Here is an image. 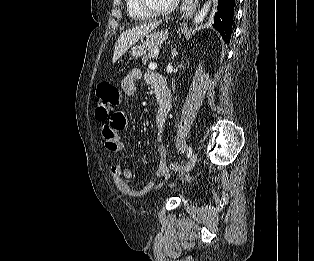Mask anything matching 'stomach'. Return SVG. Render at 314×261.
<instances>
[{
	"label": "stomach",
	"instance_id": "1",
	"mask_svg": "<svg viewBox=\"0 0 314 261\" xmlns=\"http://www.w3.org/2000/svg\"><path fill=\"white\" fill-rule=\"evenodd\" d=\"M166 38V31H154L153 33L147 34L137 45L132 47L130 54L133 58L144 56L152 49L159 48Z\"/></svg>",
	"mask_w": 314,
	"mask_h": 261
}]
</instances>
